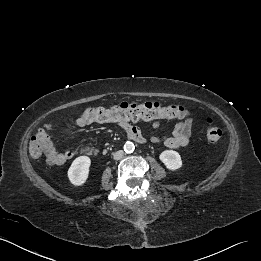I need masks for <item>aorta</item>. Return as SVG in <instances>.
<instances>
[{
  "mask_svg": "<svg viewBox=\"0 0 261 261\" xmlns=\"http://www.w3.org/2000/svg\"><path fill=\"white\" fill-rule=\"evenodd\" d=\"M135 150V145L132 142H126L124 145V151L126 153H133Z\"/></svg>",
  "mask_w": 261,
  "mask_h": 261,
  "instance_id": "1",
  "label": "aorta"
}]
</instances>
